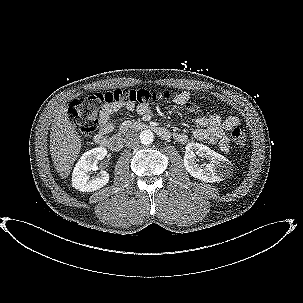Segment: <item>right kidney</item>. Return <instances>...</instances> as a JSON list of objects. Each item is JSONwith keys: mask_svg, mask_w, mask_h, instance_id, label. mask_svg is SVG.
<instances>
[{"mask_svg": "<svg viewBox=\"0 0 303 303\" xmlns=\"http://www.w3.org/2000/svg\"><path fill=\"white\" fill-rule=\"evenodd\" d=\"M107 155V150L97 147L85 152L76 163L72 173V186L82 192H92L109 182V174L101 170L96 176L90 177V172L97 170V162Z\"/></svg>", "mask_w": 303, "mask_h": 303, "instance_id": "ca27d5eb", "label": "right kidney"}]
</instances>
